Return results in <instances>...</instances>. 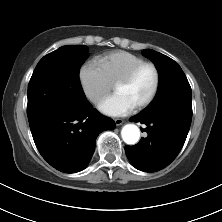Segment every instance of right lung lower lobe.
<instances>
[{
  "mask_svg": "<svg viewBox=\"0 0 222 222\" xmlns=\"http://www.w3.org/2000/svg\"><path fill=\"white\" fill-rule=\"evenodd\" d=\"M27 115L40 154L64 173L84 170L99 133L115 128V122L92 109L88 101L66 109L42 107L28 111Z\"/></svg>",
  "mask_w": 222,
  "mask_h": 222,
  "instance_id": "obj_1",
  "label": "right lung lower lobe"
}]
</instances>
